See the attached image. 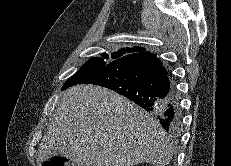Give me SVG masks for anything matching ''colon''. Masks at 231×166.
<instances>
[{"label": "colon", "instance_id": "colon-1", "mask_svg": "<svg viewBox=\"0 0 231 166\" xmlns=\"http://www.w3.org/2000/svg\"><path fill=\"white\" fill-rule=\"evenodd\" d=\"M44 166H65V159L61 156H54L44 163Z\"/></svg>", "mask_w": 231, "mask_h": 166}]
</instances>
